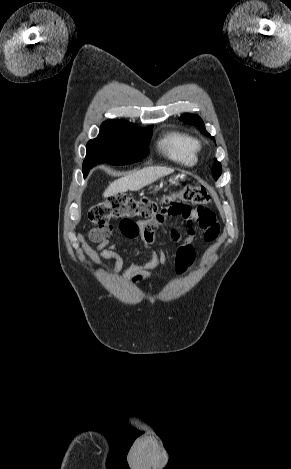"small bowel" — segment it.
Here are the masks:
<instances>
[{
    "label": "small bowel",
    "instance_id": "obj_1",
    "mask_svg": "<svg viewBox=\"0 0 291 469\" xmlns=\"http://www.w3.org/2000/svg\"><path fill=\"white\" fill-rule=\"evenodd\" d=\"M174 219L177 226H174L169 231L171 240L178 245L176 251L175 270L179 275L185 274L191 267L194 258L195 250L192 246L196 234V227L199 226L205 231V240L207 242L214 241L219 233V225L215 221L214 214L207 211L204 215L198 209H191L186 213H179L176 215H166L164 217L152 218L144 221H122L118 228L121 235L128 240H140L143 247L149 252L150 260L145 264H137L132 262L125 274L124 278L136 281L139 278V273L148 269H152L159 264H163L165 259L162 255L158 254L152 245L159 239L161 229L165 226L167 220ZM115 228L111 225L108 233L102 234L97 229L90 232V239L96 243V251L103 259L113 260L112 269L118 273L122 270L124 261L117 248V245L112 241V232ZM213 229V232L211 230ZM136 257L139 256V250L134 249Z\"/></svg>",
    "mask_w": 291,
    "mask_h": 469
}]
</instances>
